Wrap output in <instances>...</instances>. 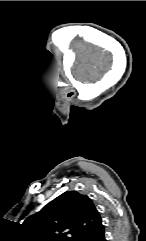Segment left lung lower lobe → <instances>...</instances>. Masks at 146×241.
<instances>
[{
  "mask_svg": "<svg viewBox=\"0 0 146 241\" xmlns=\"http://www.w3.org/2000/svg\"><path fill=\"white\" fill-rule=\"evenodd\" d=\"M104 227L100 222L94 229L85 233L79 241H106Z\"/></svg>",
  "mask_w": 146,
  "mask_h": 241,
  "instance_id": "obj_1",
  "label": "left lung lower lobe"
}]
</instances>
